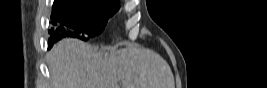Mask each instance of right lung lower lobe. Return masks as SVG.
Here are the masks:
<instances>
[{
  "label": "right lung lower lobe",
  "mask_w": 267,
  "mask_h": 88,
  "mask_svg": "<svg viewBox=\"0 0 267 88\" xmlns=\"http://www.w3.org/2000/svg\"><path fill=\"white\" fill-rule=\"evenodd\" d=\"M51 30L56 31L60 35V37H57L55 40L50 41L49 47H51L53 43L59 41L61 38L71 35L70 29L64 25H59L57 28H52Z\"/></svg>",
  "instance_id": "1"
}]
</instances>
